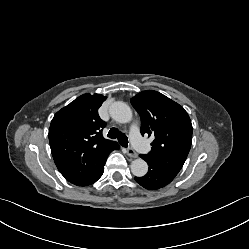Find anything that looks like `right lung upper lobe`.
<instances>
[{"label":"right lung upper lobe","instance_id":"cb5924a9","mask_svg":"<svg viewBox=\"0 0 249 249\" xmlns=\"http://www.w3.org/2000/svg\"><path fill=\"white\" fill-rule=\"evenodd\" d=\"M106 97L84 94L58 111L51 122L49 142L60 173L71 183L84 186L98 169L102 157L117 142L105 139L106 123L98 109Z\"/></svg>","mask_w":249,"mask_h":249}]
</instances>
